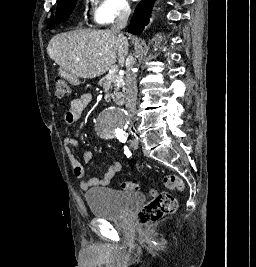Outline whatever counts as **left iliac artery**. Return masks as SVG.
I'll use <instances>...</instances> for the list:
<instances>
[{
  "label": "left iliac artery",
  "mask_w": 256,
  "mask_h": 267,
  "mask_svg": "<svg viewBox=\"0 0 256 267\" xmlns=\"http://www.w3.org/2000/svg\"><path fill=\"white\" fill-rule=\"evenodd\" d=\"M124 153L126 154V156L129 158L130 156H131V152L129 151V149H128V147L127 146H125L124 147Z\"/></svg>",
  "instance_id": "44dca946"
}]
</instances>
